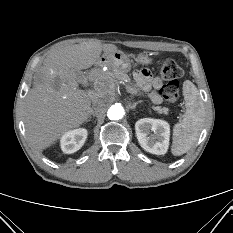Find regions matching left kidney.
Masks as SVG:
<instances>
[{"label":"left kidney","instance_id":"5707ae66","mask_svg":"<svg viewBox=\"0 0 233 233\" xmlns=\"http://www.w3.org/2000/svg\"><path fill=\"white\" fill-rule=\"evenodd\" d=\"M135 131L139 144L147 152L156 155H163L167 152L170 126L166 121L143 118L136 122Z\"/></svg>","mask_w":233,"mask_h":233}]
</instances>
